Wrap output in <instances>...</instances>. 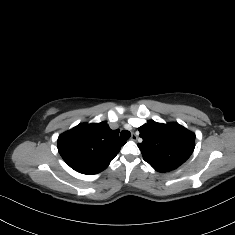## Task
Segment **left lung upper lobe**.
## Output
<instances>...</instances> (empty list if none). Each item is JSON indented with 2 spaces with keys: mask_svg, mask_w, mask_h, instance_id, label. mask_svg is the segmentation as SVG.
<instances>
[{
  "mask_svg": "<svg viewBox=\"0 0 235 235\" xmlns=\"http://www.w3.org/2000/svg\"><path fill=\"white\" fill-rule=\"evenodd\" d=\"M138 143L142 156L152 165H166L177 168L193 153L195 134L178 123L161 124L149 120L139 127Z\"/></svg>",
  "mask_w": 235,
  "mask_h": 235,
  "instance_id": "1",
  "label": "left lung upper lobe"
}]
</instances>
